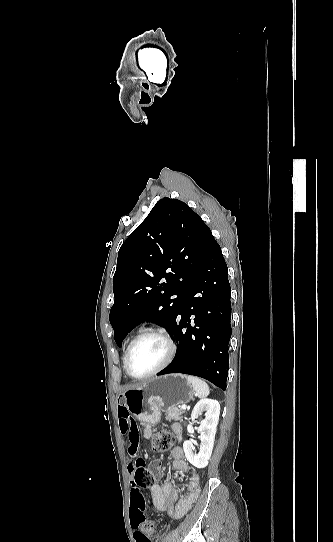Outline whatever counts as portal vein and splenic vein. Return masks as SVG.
I'll return each mask as SVG.
<instances>
[{
  "instance_id": "obj_1",
  "label": "portal vein and splenic vein",
  "mask_w": 333,
  "mask_h": 542,
  "mask_svg": "<svg viewBox=\"0 0 333 542\" xmlns=\"http://www.w3.org/2000/svg\"><path fill=\"white\" fill-rule=\"evenodd\" d=\"M181 410H187V406H182Z\"/></svg>"
}]
</instances>
